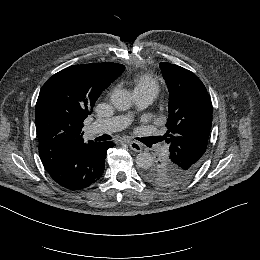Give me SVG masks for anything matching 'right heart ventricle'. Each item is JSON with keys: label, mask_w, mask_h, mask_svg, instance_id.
<instances>
[{"label": "right heart ventricle", "mask_w": 260, "mask_h": 260, "mask_svg": "<svg viewBox=\"0 0 260 260\" xmlns=\"http://www.w3.org/2000/svg\"><path fill=\"white\" fill-rule=\"evenodd\" d=\"M131 87L133 94H150L155 97L159 90V81L150 74L143 71H136L131 78Z\"/></svg>", "instance_id": "1"}]
</instances>
